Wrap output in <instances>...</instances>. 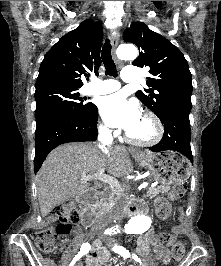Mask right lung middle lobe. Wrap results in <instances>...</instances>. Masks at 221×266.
I'll use <instances>...</instances> for the list:
<instances>
[{"mask_svg": "<svg viewBox=\"0 0 221 266\" xmlns=\"http://www.w3.org/2000/svg\"><path fill=\"white\" fill-rule=\"evenodd\" d=\"M79 88L68 86H46L36 88V127L57 116L88 117L96 110L93 103H85Z\"/></svg>", "mask_w": 221, "mask_h": 266, "instance_id": "1", "label": "right lung middle lobe"}]
</instances>
